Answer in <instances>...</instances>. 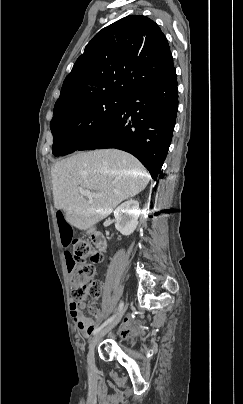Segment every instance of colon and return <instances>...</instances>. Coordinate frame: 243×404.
<instances>
[{
    "label": "colon",
    "instance_id": "obj_1",
    "mask_svg": "<svg viewBox=\"0 0 243 404\" xmlns=\"http://www.w3.org/2000/svg\"><path fill=\"white\" fill-rule=\"evenodd\" d=\"M73 249L72 272L77 287L72 292V298L74 301L85 297L96 300L100 296L101 286L94 279L95 266L102 261L103 256L85 239L76 240Z\"/></svg>",
    "mask_w": 243,
    "mask_h": 404
}]
</instances>
